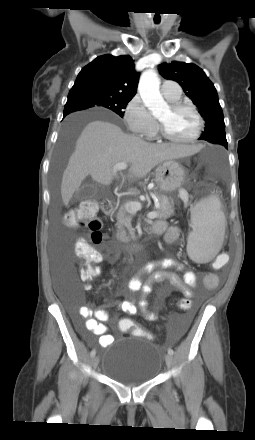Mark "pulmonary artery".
Masks as SVG:
<instances>
[{
	"label": "pulmonary artery",
	"instance_id": "e3ab8cb5",
	"mask_svg": "<svg viewBox=\"0 0 255 440\" xmlns=\"http://www.w3.org/2000/svg\"><path fill=\"white\" fill-rule=\"evenodd\" d=\"M161 92L165 98H179L181 95V89L171 80L163 81Z\"/></svg>",
	"mask_w": 255,
	"mask_h": 440
}]
</instances>
